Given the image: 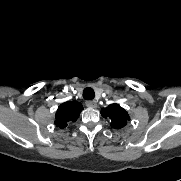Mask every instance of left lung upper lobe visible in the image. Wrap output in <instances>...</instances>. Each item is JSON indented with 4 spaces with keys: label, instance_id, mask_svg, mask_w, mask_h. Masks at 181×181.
Instances as JSON below:
<instances>
[{
    "label": "left lung upper lobe",
    "instance_id": "1",
    "mask_svg": "<svg viewBox=\"0 0 181 181\" xmlns=\"http://www.w3.org/2000/svg\"><path fill=\"white\" fill-rule=\"evenodd\" d=\"M101 115L110 120L111 127L114 129L123 128L126 126L127 122L130 121L127 111L116 103L110 104L106 108H102Z\"/></svg>",
    "mask_w": 181,
    "mask_h": 181
}]
</instances>
